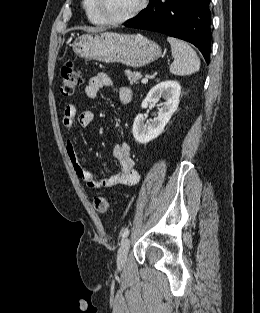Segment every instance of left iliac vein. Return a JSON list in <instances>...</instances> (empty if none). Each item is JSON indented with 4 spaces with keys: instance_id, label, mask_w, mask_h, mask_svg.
Returning <instances> with one entry per match:
<instances>
[{
    "instance_id": "4c4485c4",
    "label": "left iliac vein",
    "mask_w": 260,
    "mask_h": 313,
    "mask_svg": "<svg viewBox=\"0 0 260 313\" xmlns=\"http://www.w3.org/2000/svg\"><path fill=\"white\" fill-rule=\"evenodd\" d=\"M129 247H130V241L128 238H126L119 250H118V254H117V264L118 266H124L127 260V256H128V251H129Z\"/></svg>"
}]
</instances>
